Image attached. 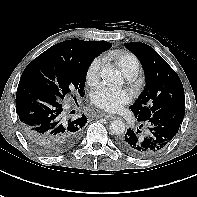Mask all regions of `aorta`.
Instances as JSON below:
<instances>
[{"mask_svg":"<svg viewBox=\"0 0 197 197\" xmlns=\"http://www.w3.org/2000/svg\"><path fill=\"white\" fill-rule=\"evenodd\" d=\"M101 78L104 82L112 84L122 83L119 71L112 66H105L101 70ZM110 132L114 135H122L125 132V124L121 120H114L110 124Z\"/></svg>","mask_w":197,"mask_h":197,"instance_id":"1","label":"aorta"}]
</instances>
